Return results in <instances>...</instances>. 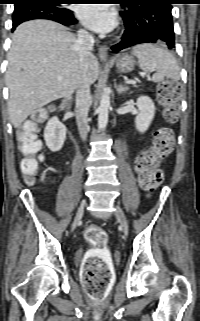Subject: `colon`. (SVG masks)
Instances as JSON below:
<instances>
[{"mask_svg":"<svg viewBox=\"0 0 200 321\" xmlns=\"http://www.w3.org/2000/svg\"><path fill=\"white\" fill-rule=\"evenodd\" d=\"M180 93V84L175 80H164L158 86L157 98L169 124L178 120ZM45 116L44 111H36L17 133L19 150L23 155L21 170L27 183L34 181L42 161L41 141L37 133ZM174 144L172 129L163 127L155 133L151 146L137 156L135 167L139 183L145 191L152 192L160 185L163 179L160 163L173 151ZM84 237L92 249L83 261L81 280L86 291L94 299L101 300L107 293L111 279L110 262L106 252L108 235L102 228L92 225L85 230Z\"/></svg>","mask_w":200,"mask_h":321,"instance_id":"obj_1","label":"colon"}]
</instances>
